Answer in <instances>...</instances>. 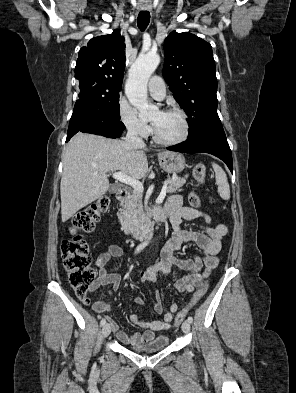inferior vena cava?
I'll use <instances>...</instances> for the list:
<instances>
[{"mask_svg":"<svg viewBox=\"0 0 296 393\" xmlns=\"http://www.w3.org/2000/svg\"><path fill=\"white\" fill-rule=\"evenodd\" d=\"M124 145L126 148L131 149V148H138V147H144L145 143L142 140V138L139 136L137 130L135 129H128Z\"/></svg>","mask_w":296,"mask_h":393,"instance_id":"inferior-vena-cava-1","label":"inferior vena cava"}]
</instances>
